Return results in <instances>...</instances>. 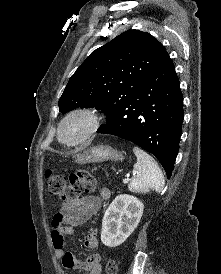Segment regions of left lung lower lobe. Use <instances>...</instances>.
<instances>
[{
    "instance_id": "left-lung-lower-lobe-1",
    "label": "left lung lower lobe",
    "mask_w": 221,
    "mask_h": 274,
    "mask_svg": "<svg viewBox=\"0 0 221 274\" xmlns=\"http://www.w3.org/2000/svg\"><path fill=\"white\" fill-rule=\"evenodd\" d=\"M183 95L169 55L144 80L140 91L106 116L98 133L131 141L152 153L170 178L179 149Z\"/></svg>"
}]
</instances>
